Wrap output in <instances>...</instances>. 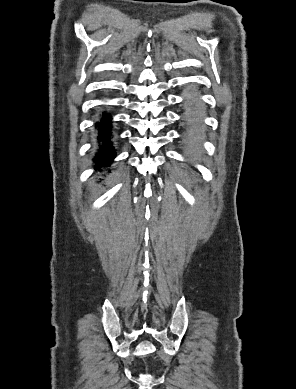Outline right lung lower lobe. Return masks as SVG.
Here are the masks:
<instances>
[{"label":"right lung lower lobe","mask_w":296,"mask_h":389,"mask_svg":"<svg viewBox=\"0 0 296 389\" xmlns=\"http://www.w3.org/2000/svg\"><path fill=\"white\" fill-rule=\"evenodd\" d=\"M97 131V149L93 158L95 167L101 171L103 167H108L116 156L113 146L112 117L106 112L100 116V120L95 123Z\"/></svg>","instance_id":"98d812e1"}]
</instances>
